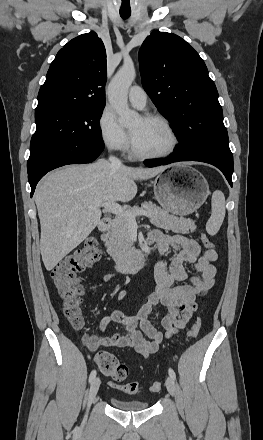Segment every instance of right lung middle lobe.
Returning a JSON list of instances; mask_svg holds the SVG:
<instances>
[{
	"label": "right lung middle lobe",
	"mask_w": 263,
	"mask_h": 440,
	"mask_svg": "<svg viewBox=\"0 0 263 440\" xmlns=\"http://www.w3.org/2000/svg\"><path fill=\"white\" fill-rule=\"evenodd\" d=\"M104 106L51 107L35 110L36 131L27 171L51 154L77 146L103 144L99 120Z\"/></svg>",
	"instance_id": "right-lung-middle-lobe-1"
}]
</instances>
